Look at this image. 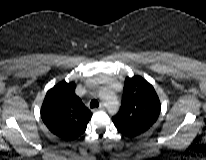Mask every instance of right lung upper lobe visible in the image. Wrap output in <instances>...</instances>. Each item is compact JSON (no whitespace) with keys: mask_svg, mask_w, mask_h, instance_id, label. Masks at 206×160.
<instances>
[{"mask_svg":"<svg viewBox=\"0 0 206 160\" xmlns=\"http://www.w3.org/2000/svg\"><path fill=\"white\" fill-rule=\"evenodd\" d=\"M76 84L62 81L51 88L41 107V118L56 136L70 141L83 134L91 111L75 94Z\"/></svg>","mask_w":206,"mask_h":160,"instance_id":"obj_1","label":"right lung upper lobe"}]
</instances>
